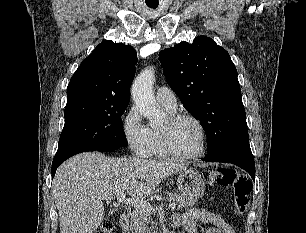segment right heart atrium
I'll use <instances>...</instances> for the list:
<instances>
[{
    "label": "right heart atrium",
    "instance_id": "1",
    "mask_svg": "<svg viewBox=\"0 0 306 233\" xmlns=\"http://www.w3.org/2000/svg\"><path fill=\"white\" fill-rule=\"evenodd\" d=\"M122 131L129 149L138 157H149L153 151V134L137 107H131L123 119Z\"/></svg>",
    "mask_w": 306,
    "mask_h": 233
}]
</instances>
